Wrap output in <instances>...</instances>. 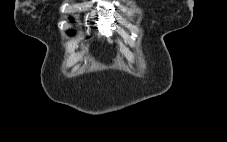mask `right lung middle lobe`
I'll return each mask as SVG.
<instances>
[{
  "instance_id": "obj_1",
  "label": "right lung middle lobe",
  "mask_w": 227,
  "mask_h": 142,
  "mask_svg": "<svg viewBox=\"0 0 227 142\" xmlns=\"http://www.w3.org/2000/svg\"><path fill=\"white\" fill-rule=\"evenodd\" d=\"M69 35H71L72 33L71 32H68Z\"/></svg>"
}]
</instances>
